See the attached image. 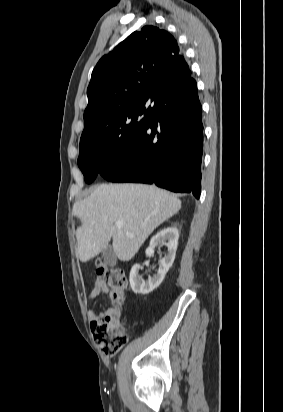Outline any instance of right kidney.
Instances as JSON below:
<instances>
[{"label": "right kidney", "mask_w": 283, "mask_h": 412, "mask_svg": "<svg viewBox=\"0 0 283 412\" xmlns=\"http://www.w3.org/2000/svg\"><path fill=\"white\" fill-rule=\"evenodd\" d=\"M179 232L175 227H167L152 237L149 247L146 249V256H151L154 253V248L166 244L168 247L167 254L160 260L159 268L152 277L145 281L139 275L141 268L140 264L132 266L129 282L134 293L149 294L157 288L163 281L169 268L172 266L178 246Z\"/></svg>", "instance_id": "1"}]
</instances>
